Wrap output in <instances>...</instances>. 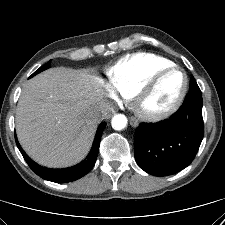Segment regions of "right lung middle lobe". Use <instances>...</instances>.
<instances>
[{
	"mask_svg": "<svg viewBox=\"0 0 225 225\" xmlns=\"http://www.w3.org/2000/svg\"><path fill=\"white\" fill-rule=\"evenodd\" d=\"M50 61H51V60H50ZM50 61H49L47 64H45V65H43L42 67H40L38 70H36L30 77H32V76H34V75L40 73L41 71H44V70L48 69L49 66H50Z\"/></svg>",
	"mask_w": 225,
	"mask_h": 225,
	"instance_id": "obj_1",
	"label": "right lung middle lobe"
}]
</instances>
